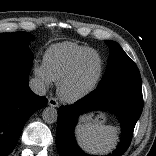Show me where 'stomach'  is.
Here are the masks:
<instances>
[{
    "instance_id": "obj_1",
    "label": "stomach",
    "mask_w": 156,
    "mask_h": 156,
    "mask_svg": "<svg viewBox=\"0 0 156 156\" xmlns=\"http://www.w3.org/2000/svg\"><path fill=\"white\" fill-rule=\"evenodd\" d=\"M88 121H92L93 123L101 124L104 123L105 117L104 116H98L95 119H87Z\"/></svg>"
}]
</instances>
